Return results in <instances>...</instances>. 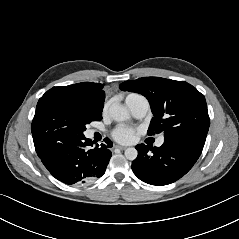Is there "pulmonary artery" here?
<instances>
[{
  "instance_id": "pulmonary-artery-1",
  "label": "pulmonary artery",
  "mask_w": 239,
  "mask_h": 239,
  "mask_svg": "<svg viewBox=\"0 0 239 239\" xmlns=\"http://www.w3.org/2000/svg\"><path fill=\"white\" fill-rule=\"evenodd\" d=\"M126 104L129 107L133 116L136 118H143L144 116H146L150 108L148 100L144 96L138 94L127 97ZM92 133L93 131H90V134ZM163 143L164 138L160 137L157 140L156 145L160 147Z\"/></svg>"
}]
</instances>
